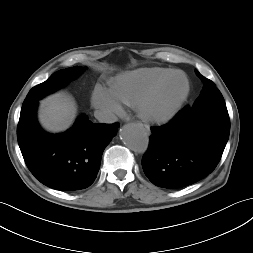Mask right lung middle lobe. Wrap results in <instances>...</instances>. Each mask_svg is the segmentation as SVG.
I'll list each match as a JSON object with an SVG mask.
<instances>
[{"label": "right lung middle lobe", "mask_w": 253, "mask_h": 253, "mask_svg": "<svg viewBox=\"0 0 253 253\" xmlns=\"http://www.w3.org/2000/svg\"><path fill=\"white\" fill-rule=\"evenodd\" d=\"M84 71V68L75 66L72 68L62 69L52 74L45 82L33 87L28 93L24 104L34 100H39L45 95L56 91L64 86L71 79L79 76Z\"/></svg>", "instance_id": "obj_1"}]
</instances>
